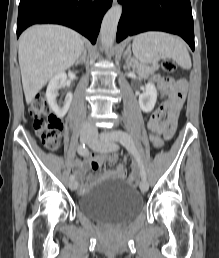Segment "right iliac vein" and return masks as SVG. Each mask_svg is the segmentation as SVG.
Instances as JSON below:
<instances>
[{
  "mask_svg": "<svg viewBox=\"0 0 219 258\" xmlns=\"http://www.w3.org/2000/svg\"><path fill=\"white\" fill-rule=\"evenodd\" d=\"M80 139L84 143H88L91 139V133L88 131H82L80 134ZM69 188L71 190H75L77 188V182L74 180H70L69 182Z\"/></svg>",
  "mask_w": 219,
  "mask_h": 258,
  "instance_id": "1",
  "label": "right iliac vein"
}]
</instances>
